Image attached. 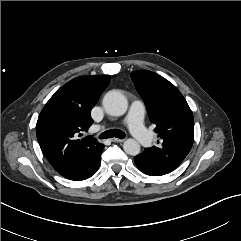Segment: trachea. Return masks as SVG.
<instances>
[{
    "label": "trachea",
    "instance_id": "trachea-1",
    "mask_svg": "<svg viewBox=\"0 0 241 241\" xmlns=\"http://www.w3.org/2000/svg\"><path fill=\"white\" fill-rule=\"evenodd\" d=\"M113 137L123 139V138H125V133L120 130L113 129V130H107V131L103 132L102 134H100V136H99L100 139H108V138H113Z\"/></svg>",
    "mask_w": 241,
    "mask_h": 241
}]
</instances>
